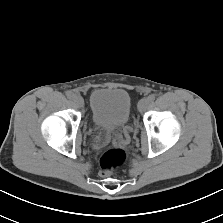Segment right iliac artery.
Here are the masks:
<instances>
[{
	"label": "right iliac artery",
	"mask_w": 223,
	"mask_h": 223,
	"mask_svg": "<svg viewBox=\"0 0 223 223\" xmlns=\"http://www.w3.org/2000/svg\"><path fill=\"white\" fill-rule=\"evenodd\" d=\"M66 95H67V97H68L69 99H73V98H74V93L71 92V91H68V92L66 93Z\"/></svg>",
	"instance_id": "82829eb1"
}]
</instances>
